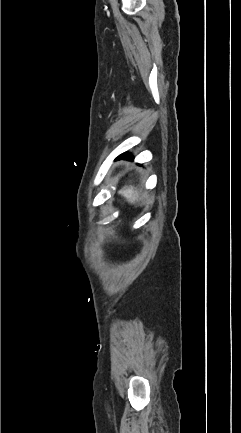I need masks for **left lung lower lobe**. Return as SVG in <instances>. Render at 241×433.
Returning a JSON list of instances; mask_svg holds the SVG:
<instances>
[{
	"mask_svg": "<svg viewBox=\"0 0 241 433\" xmlns=\"http://www.w3.org/2000/svg\"><path fill=\"white\" fill-rule=\"evenodd\" d=\"M118 158H127V159H132V155H129V154L124 153V154L120 155Z\"/></svg>",
	"mask_w": 241,
	"mask_h": 433,
	"instance_id": "1",
	"label": "left lung lower lobe"
}]
</instances>
